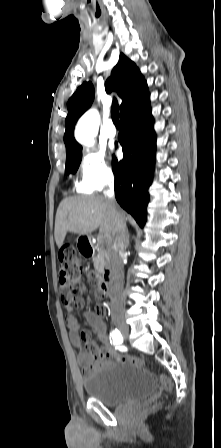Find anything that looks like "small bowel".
Segmentation results:
<instances>
[{
    "mask_svg": "<svg viewBox=\"0 0 221 448\" xmlns=\"http://www.w3.org/2000/svg\"><path fill=\"white\" fill-rule=\"evenodd\" d=\"M97 296H100L97 293ZM64 308L67 311L66 324L69 329V337L72 343L80 347L78 354V363L84 374L91 373L101 367L110 359L117 362H123L122 356L115 353L110 347L109 339L106 334V327L102 320L105 308L98 305L94 311H84V322L89 330L82 329L81 323L73 314V309H83L85 301L80 295L66 293L63 297ZM90 331L93 332L104 345L100 350L97 345L90 340Z\"/></svg>",
    "mask_w": 221,
    "mask_h": 448,
    "instance_id": "small-bowel-1",
    "label": "small bowel"
}]
</instances>
